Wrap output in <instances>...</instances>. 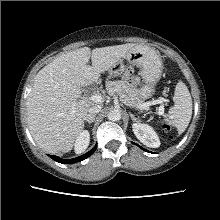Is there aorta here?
<instances>
[{"mask_svg":"<svg viewBox=\"0 0 220 220\" xmlns=\"http://www.w3.org/2000/svg\"><path fill=\"white\" fill-rule=\"evenodd\" d=\"M108 119L111 121H119L121 119V112L117 109H113L108 113Z\"/></svg>","mask_w":220,"mask_h":220,"instance_id":"aorta-1","label":"aorta"}]
</instances>
